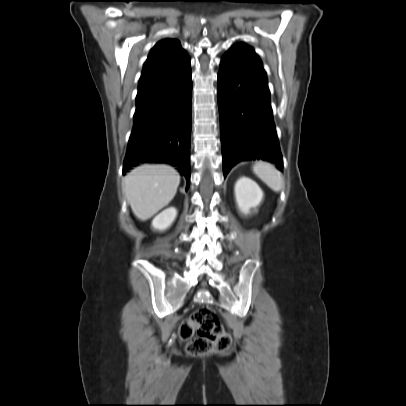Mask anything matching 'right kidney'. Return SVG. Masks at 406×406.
Here are the masks:
<instances>
[{
    "instance_id": "ca27d5eb",
    "label": "right kidney",
    "mask_w": 406,
    "mask_h": 406,
    "mask_svg": "<svg viewBox=\"0 0 406 406\" xmlns=\"http://www.w3.org/2000/svg\"><path fill=\"white\" fill-rule=\"evenodd\" d=\"M177 217V210L174 207L167 208L152 220V227L159 231L169 228Z\"/></svg>"
}]
</instances>
